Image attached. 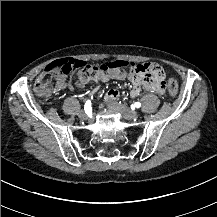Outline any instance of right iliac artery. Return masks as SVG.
Segmentation results:
<instances>
[{"label":"right iliac artery","instance_id":"right-iliac-artery-1","mask_svg":"<svg viewBox=\"0 0 217 217\" xmlns=\"http://www.w3.org/2000/svg\"><path fill=\"white\" fill-rule=\"evenodd\" d=\"M84 110L86 114H89L92 112V107H91V101L88 100L86 101L85 105H84Z\"/></svg>","mask_w":217,"mask_h":217}]
</instances>
